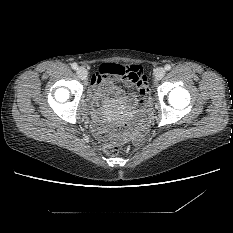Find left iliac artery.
Masks as SVG:
<instances>
[{"mask_svg": "<svg viewBox=\"0 0 233 233\" xmlns=\"http://www.w3.org/2000/svg\"><path fill=\"white\" fill-rule=\"evenodd\" d=\"M165 69H166L167 71L170 70V69H171V65L166 64V65H165Z\"/></svg>", "mask_w": 233, "mask_h": 233, "instance_id": "obj_1", "label": "left iliac artery"}]
</instances>
